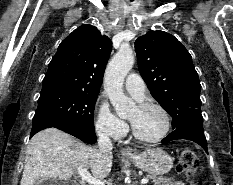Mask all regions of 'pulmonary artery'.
I'll use <instances>...</instances> for the list:
<instances>
[{"label":"pulmonary artery","mask_w":233,"mask_h":185,"mask_svg":"<svg viewBox=\"0 0 233 185\" xmlns=\"http://www.w3.org/2000/svg\"><path fill=\"white\" fill-rule=\"evenodd\" d=\"M127 91L136 99L140 100L145 94V83L142 77L136 73H130L125 80Z\"/></svg>","instance_id":"obj_1"}]
</instances>
